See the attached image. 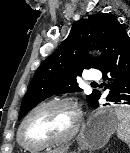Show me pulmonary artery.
I'll use <instances>...</instances> for the list:
<instances>
[{
    "label": "pulmonary artery",
    "mask_w": 130,
    "mask_h": 153,
    "mask_svg": "<svg viewBox=\"0 0 130 153\" xmlns=\"http://www.w3.org/2000/svg\"><path fill=\"white\" fill-rule=\"evenodd\" d=\"M87 79L92 83H96L101 79V72L99 70H91L88 73Z\"/></svg>",
    "instance_id": "e3ab8cb5"
}]
</instances>
